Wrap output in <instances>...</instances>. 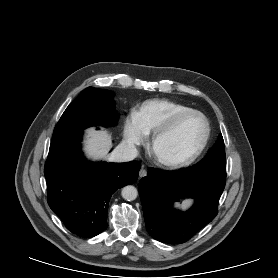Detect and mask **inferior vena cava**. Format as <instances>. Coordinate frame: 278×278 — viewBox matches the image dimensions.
Returning a JSON list of instances; mask_svg holds the SVG:
<instances>
[{
  "label": "inferior vena cava",
  "mask_w": 278,
  "mask_h": 278,
  "mask_svg": "<svg viewBox=\"0 0 278 278\" xmlns=\"http://www.w3.org/2000/svg\"><path fill=\"white\" fill-rule=\"evenodd\" d=\"M138 150L133 144L121 142L111 153V160L115 162H128L135 159Z\"/></svg>",
  "instance_id": "1"
}]
</instances>
